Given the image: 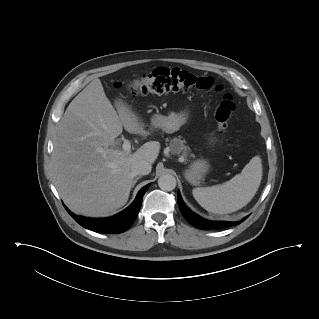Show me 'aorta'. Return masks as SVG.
I'll return each instance as SVG.
<instances>
[{
    "mask_svg": "<svg viewBox=\"0 0 319 319\" xmlns=\"http://www.w3.org/2000/svg\"><path fill=\"white\" fill-rule=\"evenodd\" d=\"M158 186L164 191H172L176 187V178L171 174L161 175L158 179Z\"/></svg>",
    "mask_w": 319,
    "mask_h": 319,
    "instance_id": "obj_1",
    "label": "aorta"
}]
</instances>
